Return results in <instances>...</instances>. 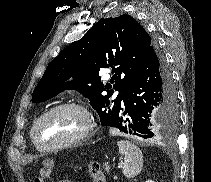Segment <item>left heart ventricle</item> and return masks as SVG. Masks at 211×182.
<instances>
[{"label": "left heart ventricle", "mask_w": 211, "mask_h": 182, "mask_svg": "<svg viewBox=\"0 0 211 182\" xmlns=\"http://www.w3.org/2000/svg\"><path fill=\"white\" fill-rule=\"evenodd\" d=\"M85 123V117L79 111L60 109L39 123L35 136L41 146H50L78 135Z\"/></svg>", "instance_id": "1"}]
</instances>
